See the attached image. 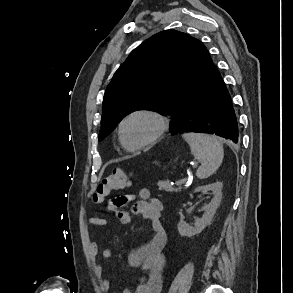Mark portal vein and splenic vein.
<instances>
[{
    "instance_id": "obj_1",
    "label": "portal vein and splenic vein",
    "mask_w": 293,
    "mask_h": 293,
    "mask_svg": "<svg viewBox=\"0 0 293 293\" xmlns=\"http://www.w3.org/2000/svg\"><path fill=\"white\" fill-rule=\"evenodd\" d=\"M186 182V179H181L177 182L178 185H182Z\"/></svg>"
}]
</instances>
